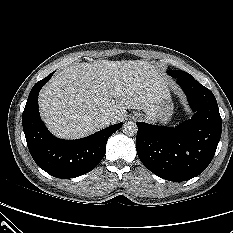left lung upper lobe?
Instances as JSON below:
<instances>
[{"label":"left lung upper lobe","mask_w":233,"mask_h":233,"mask_svg":"<svg viewBox=\"0 0 233 233\" xmlns=\"http://www.w3.org/2000/svg\"><path fill=\"white\" fill-rule=\"evenodd\" d=\"M167 73L176 78V79H181V78H191L192 76L188 74L187 72L180 71V70H168Z\"/></svg>","instance_id":"1"}]
</instances>
